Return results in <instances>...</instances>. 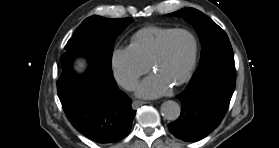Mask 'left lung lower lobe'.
Instances as JSON below:
<instances>
[{
  "label": "left lung lower lobe",
  "mask_w": 279,
  "mask_h": 148,
  "mask_svg": "<svg viewBox=\"0 0 279 148\" xmlns=\"http://www.w3.org/2000/svg\"><path fill=\"white\" fill-rule=\"evenodd\" d=\"M236 85L234 59L214 61L199 69L177 95L181 115L168 125L178 139L194 142L208 136L221 123Z\"/></svg>",
  "instance_id": "obj_1"
}]
</instances>
